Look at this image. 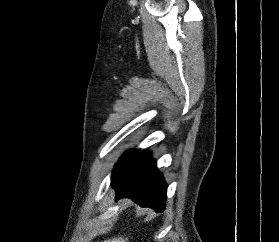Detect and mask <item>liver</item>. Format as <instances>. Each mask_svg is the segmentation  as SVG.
<instances>
[{"label":"liver","mask_w":279,"mask_h":242,"mask_svg":"<svg viewBox=\"0 0 279 242\" xmlns=\"http://www.w3.org/2000/svg\"><path fill=\"white\" fill-rule=\"evenodd\" d=\"M128 241V238H123V237H118V238H112V239H108L104 242H127Z\"/></svg>","instance_id":"6515ba94"}]
</instances>
